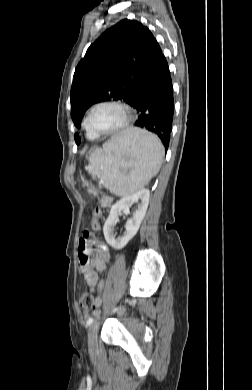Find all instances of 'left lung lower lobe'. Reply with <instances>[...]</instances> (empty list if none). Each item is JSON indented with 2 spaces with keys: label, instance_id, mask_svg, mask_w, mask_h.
I'll return each mask as SVG.
<instances>
[{
  "label": "left lung lower lobe",
  "instance_id": "1",
  "mask_svg": "<svg viewBox=\"0 0 252 390\" xmlns=\"http://www.w3.org/2000/svg\"><path fill=\"white\" fill-rule=\"evenodd\" d=\"M130 106L138 113L134 125L157 134L167 150L172 130L174 97L169 66L162 53L140 81Z\"/></svg>",
  "mask_w": 252,
  "mask_h": 390
}]
</instances>
